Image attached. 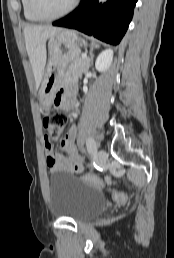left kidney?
Here are the masks:
<instances>
[{"label":"left kidney","instance_id":"obj_1","mask_svg":"<svg viewBox=\"0 0 174 258\" xmlns=\"http://www.w3.org/2000/svg\"><path fill=\"white\" fill-rule=\"evenodd\" d=\"M113 60V50L112 49H106L102 51L95 62V68L96 70L100 72H105L109 69L111 66Z\"/></svg>","mask_w":174,"mask_h":258}]
</instances>
